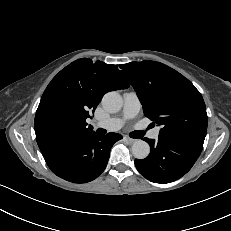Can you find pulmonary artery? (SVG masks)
<instances>
[{"mask_svg": "<svg viewBox=\"0 0 231 231\" xmlns=\"http://www.w3.org/2000/svg\"><path fill=\"white\" fill-rule=\"evenodd\" d=\"M140 109L141 103L138 95L135 92H126L123 94V109L121 116L96 122L95 126L107 129L109 131L118 130L123 126L126 120L136 117L140 112ZM159 131L160 128L156 127L151 130L149 136L156 139L159 136Z\"/></svg>", "mask_w": 231, "mask_h": 231, "instance_id": "e3ab8cb5", "label": "pulmonary artery"}]
</instances>
